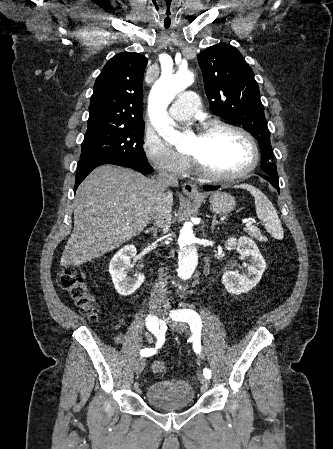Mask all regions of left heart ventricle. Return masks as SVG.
<instances>
[{
    "label": "left heart ventricle",
    "instance_id": "1",
    "mask_svg": "<svg viewBox=\"0 0 333 449\" xmlns=\"http://www.w3.org/2000/svg\"><path fill=\"white\" fill-rule=\"evenodd\" d=\"M188 153L217 174H230L245 168L252 156L248 142L242 136L227 130L193 137Z\"/></svg>",
    "mask_w": 333,
    "mask_h": 449
}]
</instances>
